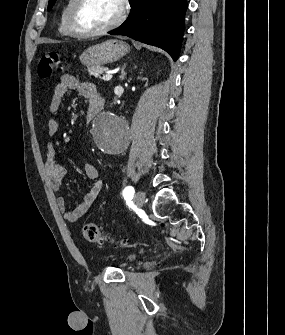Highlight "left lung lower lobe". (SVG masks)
Returning a JSON list of instances; mask_svg holds the SVG:
<instances>
[{"label":"left lung lower lobe","mask_w":285,"mask_h":335,"mask_svg":"<svg viewBox=\"0 0 285 335\" xmlns=\"http://www.w3.org/2000/svg\"><path fill=\"white\" fill-rule=\"evenodd\" d=\"M131 13L111 35H126L167 51L174 61L179 57L186 0H130Z\"/></svg>","instance_id":"left-lung-lower-lobe-1"}]
</instances>
